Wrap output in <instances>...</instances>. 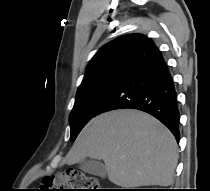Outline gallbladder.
I'll return each mask as SVG.
<instances>
[{"label": "gallbladder", "instance_id": "gallbladder-1", "mask_svg": "<svg viewBox=\"0 0 210 191\" xmlns=\"http://www.w3.org/2000/svg\"><path fill=\"white\" fill-rule=\"evenodd\" d=\"M79 168L89 174L106 177V169L100 161L85 159L81 161Z\"/></svg>", "mask_w": 210, "mask_h": 191}]
</instances>
